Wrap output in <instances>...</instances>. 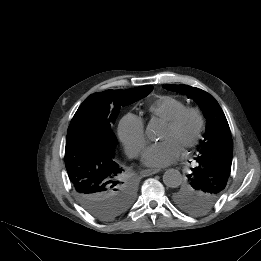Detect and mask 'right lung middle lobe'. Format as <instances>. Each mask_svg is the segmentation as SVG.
<instances>
[{
  "mask_svg": "<svg viewBox=\"0 0 261 261\" xmlns=\"http://www.w3.org/2000/svg\"><path fill=\"white\" fill-rule=\"evenodd\" d=\"M153 86H141L127 90H107L87 97L76 111L68 128V133L83 130L94 133L115 148L116 137L111 123L120 107L131 104L147 96ZM82 207L100 220H112L124 213L132 204L135 185L125 175L117 174L105 184H97L81 194L74 191Z\"/></svg>",
  "mask_w": 261,
  "mask_h": 261,
  "instance_id": "1",
  "label": "right lung middle lobe"
}]
</instances>
